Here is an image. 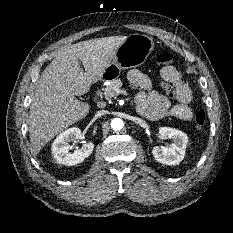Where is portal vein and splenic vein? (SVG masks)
I'll return each mask as SVG.
<instances>
[{"label":"portal vein and splenic vein","instance_id":"1","mask_svg":"<svg viewBox=\"0 0 233 233\" xmlns=\"http://www.w3.org/2000/svg\"><path fill=\"white\" fill-rule=\"evenodd\" d=\"M118 94L128 95L126 91H122V90L118 91Z\"/></svg>","mask_w":233,"mask_h":233}]
</instances>
